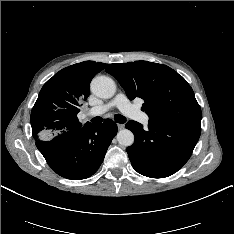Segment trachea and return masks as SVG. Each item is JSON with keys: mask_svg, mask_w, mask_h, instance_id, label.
Returning <instances> with one entry per match:
<instances>
[{"mask_svg": "<svg viewBox=\"0 0 234 234\" xmlns=\"http://www.w3.org/2000/svg\"><path fill=\"white\" fill-rule=\"evenodd\" d=\"M114 119L117 123H125L126 122V117H124L123 115L120 114H116L114 116ZM102 118L101 117H94L91 121L93 123H101L102 122Z\"/></svg>", "mask_w": 234, "mask_h": 234, "instance_id": "3493384b", "label": "trachea"}]
</instances>
